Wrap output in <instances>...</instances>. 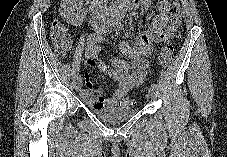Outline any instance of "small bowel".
<instances>
[{"label": "small bowel", "instance_id": "small-bowel-1", "mask_svg": "<svg viewBox=\"0 0 227 157\" xmlns=\"http://www.w3.org/2000/svg\"><path fill=\"white\" fill-rule=\"evenodd\" d=\"M150 4L151 0H138V7H149ZM171 8V3L168 0H160L150 30L142 33L133 46L125 42L121 44L122 53L130 61L115 57L111 60V67L107 66L97 57L101 49L100 44L103 41L102 35L94 33L88 38L85 48L86 65L97 67L111 80L118 82V87L113 95L110 98H105L103 92L96 88L89 76L86 75V87L81 90L80 96L88 106L92 108L113 107L120 104L131 89L143 84L149 67L145 57L151 53L153 42H160L165 39L164 28L168 22Z\"/></svg>", "mask_w": 227, "mask_h": 157}]
</instances>
